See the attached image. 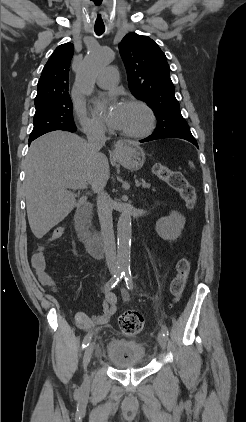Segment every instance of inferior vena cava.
<instances>
[{"instance_id":"1","label":"inferior vena cava","mask_w":246,"mask_h":422,"mask_svg":"<svg viewBox=\"0 0 246 422\" xmlns=\"http://www.w3.org/2000/svg\"><path fill=\"white\" fill-rule=\"evenodd\" d=\"M88 147L92 154L98 156L100 149L105 145L106 137L102 127L92 126L87 130ZM105 182L98 181L93 190L97 193V211L101 225L106 263L110 271H117L118 261L112 221L110 196L105 192Z\"/></svg>"}]
</instances>
